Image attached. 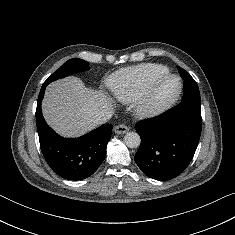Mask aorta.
I'll list each match as a JSON object with an SVG mask.
<instances>
[{"instance_id":"1","label":"aorta","mask_w":235,"mask_h":235,"mask_svg":"<svg viewBox=\"0 0 235 235\" xmlns=\"http://www.w3.org/2000/svg\"><path fill=\"white\" fill-rule=\"evenodd\" d=\"M124 142L129 148H137L141 143V139L138 133L127 132L124 136Z\"/></svg>"}]
</instances>
